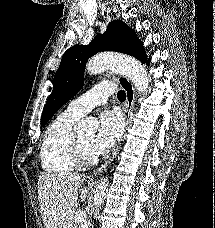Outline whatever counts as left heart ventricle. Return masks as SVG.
<instances>
[{"label":"left heart ventricle","instance_id":"obj_1","mask_svg":"<svg viewBox=\"0 0 215 228\" xmlns=\"http://www.w3.org/2000/svg\"><path fill=\"white\" fill-rule=\"evenodd\" d=\"M78 140L80 141L82 147L84 150L90 154V155H95L93 150H92V144L94 140V133H86V134H80L77 135Z\"/></svg>","mask_w":215,"mask_h":228}]
</instances>
